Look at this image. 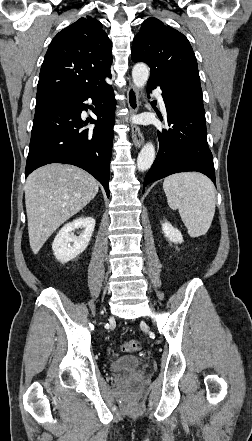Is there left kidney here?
I'll use <instances>...</instances> for the list:
<instances>
[{
  "label": "left kidney",
  "mask_w": 252,
  "mask_h": 441,
  "mask_svg": "<svg viewBox=\"0 0 252 441\" xmlns=\"http://www.w3.org/2000/svg\"><path fill=\"white\" fill-rule=\"evenodd\" d=\"M162 231L166 238L173 243H182L183 236L181 232L174 228L169 222H165L162 224Z\"/></svg>",
  "instance_id": "left-kidney-1"
}]
</instances>
